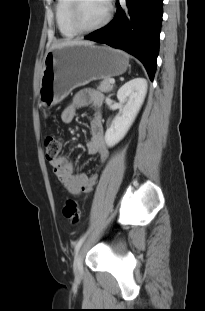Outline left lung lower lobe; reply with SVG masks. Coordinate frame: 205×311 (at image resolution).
I'll return each instance as SVG.
<instances>
[{
    "label": "left lung lower lobe",
    "instance_id": "obj_1",
    "mask_svg": "<svg viewBox=\"0 0 205 311\" xmlns=\"http://www.w3.org/2000/svg\"><path fill=\"white\" fill-rule=\"evenodd\" d=\"M163 0H126L114 19L85 38L125 50L137 57L153 80L159 52Z\"/></svg>",
    "mask_w": 205,
    "mask_h": 311
}]
</instances>
